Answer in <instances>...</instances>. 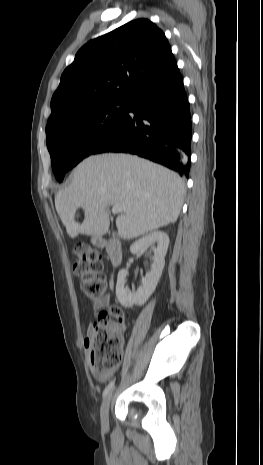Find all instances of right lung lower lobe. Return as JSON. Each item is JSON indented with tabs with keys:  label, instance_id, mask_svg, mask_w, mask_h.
Listing matches in <instances>:
<instances>
[{
	"label": "right lung lower lobe",
	"instance_id": "obj_1",
	"mask_svg": "<svg viewBox=\"0 0 263 465\" xmlns=\"http://www.w3.org/2000/svg\"><path fill=\"white\" fill-rule=\"evenodd\" d=\"M191 132L189 102L176 66L130 96L126 115L93 154H137L187 177Z\"/></svg>",
	"mask_w": 263,
	"mask_h": 465
}]
</instances>
